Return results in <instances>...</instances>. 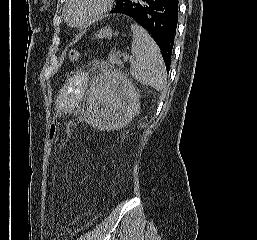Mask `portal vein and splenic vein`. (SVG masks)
I'll list each match as a JSON object with an SVG mask.
<instances>
[{"label": "portal vein and splenic vein", "instance_id": "18ae733b", "mask_svg": "<svg viewBox=\"0 0 257 240\" xmlns=\"http://www.w3.org/2000/svg\"><path fill=\"white\" fill-rule=\"evenodd\" d=\"M128 60L133 61V59H132V58H130L129 56H127V55H126V56H124V61H126V62H127Z\"/></svg>", "mask_w": 257, "mask_h": 240}]
</instances>
